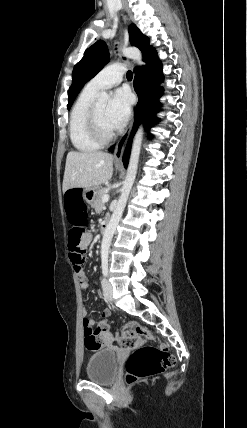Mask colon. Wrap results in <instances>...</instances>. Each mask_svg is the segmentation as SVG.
<instances>
[{
	"instance_id": "colon-1",
	"label": "colon",
	"mask_w": 247,
	"mask_h": 428,
	"mask_svg": "<svg viewBox=\"0 0 247 428\" xmlns=\"http://www.w3.org/2000/svg\"><path fill=\"white\" fill-rule=\"evenodd\" d=\"M63 215L67 217L69 226H73L69 233V246L75 259L81 264L83 251L78 247L84 226H90L91 219L87 216L85 200L81 197L78 189H69L63 200ZM89 303L87 300L84 302ZM111 309H102L99 315L103 318L101 323L92 329L90 320L84 317L81 323L84 325V343L88 350L96 351L108 345L104 333L110 331L106 322L110 320ZM152 337L151 333L136 322L126 324L119 338V345L128 350H134L126 362V380L128 383L156 376L166 369L175 365V357L169 349L160 345L159 347L144 345Z\"/></svg>"
}]
</instances>
